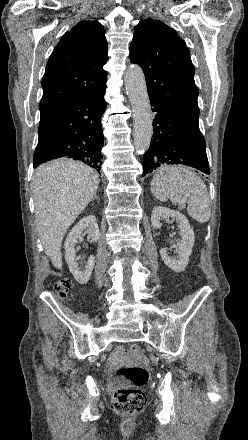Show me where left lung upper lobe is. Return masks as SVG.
I'll use <instances>...</instances> for the list:
<instances>
[{
  "label": "left lung upper lobe",
  "instance_id": "left-lung-upper-lobe-1",
  "mask_svg": "<svg viewBox=\"0 0 248 440\" xmlns=\"http://www.w3.org/2000/svg\"><path fill=\"white\" fill-rule=\"evenodd\" d=\"M130 61L144 71L150 99L199 126L198 88L186 43L165 23L148 18L135 26Z\"/></svg>",
  "mask_w": 248,
  "mask_h": 440
}]
</instances>
